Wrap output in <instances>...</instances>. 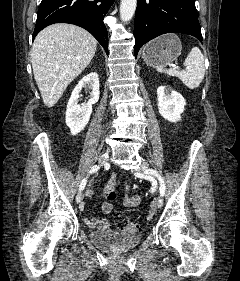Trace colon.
I'll use <instances>...</instances> for the list:
<instances>
[{
  "mask_svg": "<svg viewBox=\"0 0 240 281\" xmlns=\"http://www.w3.org/2000/svg\"><path fill=\"white\" fill-rule=\"evenodd\" d=\"M107 199L112 201L115 199V188H107L106 189ZM114 224L118 229L121 230H135L137 229V225L132 222L126 215L124 214H116L114 218Z\"/></svg>",
  "mask_w": 240,
  "mask_h": 281,
  "instance_id": "5ec220e1",
  "label": "colon"
}]
</instances>
